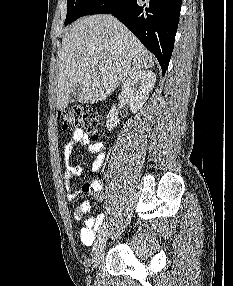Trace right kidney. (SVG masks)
I'll use <instances>...</instances> for the list:
<instances>
[{"label":"right kidney","mask_w":233,"mask_h":286,"mask_svg":"<svg viewBox=\"0 0 233 286\" xmlns=\"http://www.w3.org/2000/svg\"><path fill=\"white\" fill-rule=\"evenodd\" d=\"M156 82V75L149 70H141L131 75L122 85V93L126 97V101L130 106L132 113H136L153 89ZM120 123L117 115L116 106L113 105L106 121V126L109 131Z\"/></svg>","instance_id":"obj_1"}]
</instances>
